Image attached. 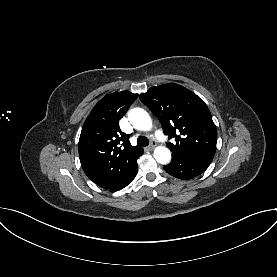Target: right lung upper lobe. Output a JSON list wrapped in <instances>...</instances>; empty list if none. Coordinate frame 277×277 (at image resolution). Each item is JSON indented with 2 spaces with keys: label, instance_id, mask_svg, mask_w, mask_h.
Masks as SVG:
<instances>
[{
  "label": "right lung upper lobe",
  "instance_id": "obj_1",
  "mask_svg": "<svg viewBox=\"0 0 277 277\" xmlns=\"http://www.w3.org/2000/svg\"><path fill=\"white\" fill-rule=\"evenodd\" d=\"M138 94L129 91L104 96L87 117L79 139V157L85 174L98 186L111 189L137 164L143 149L132 146L119 120Z\"/></svg>",
  "mask_w": 277,
  "mask_h": 277
}]
</instances>
